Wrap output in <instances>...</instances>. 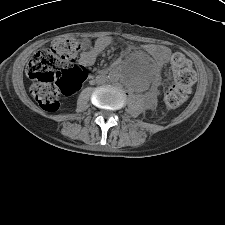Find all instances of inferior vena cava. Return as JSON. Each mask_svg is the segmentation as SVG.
<instances>
[{
    "mask_svg": "<svg viewBox=\"0 0 225 225\" xmlns=\"http://www.w3.org/2000/svg\"><path fill=\"white\" fill-rule=\"evenodd\" d=\"M104 82H105V79L102 78V77H99V78L97 79V83H104Z\"/></svg>",
    "mask_w": 225,
    "mask_h": 225,
    "instance_id": "obj_1",
    "label": "inferior vena cava"
}]
</instances>
